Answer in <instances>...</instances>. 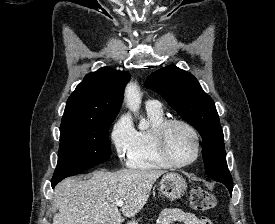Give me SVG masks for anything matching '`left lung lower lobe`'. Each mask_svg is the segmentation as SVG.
<instances>
[{
	"label": "left lung lower lobe",
	"mask_w": 275,
	"mask_h": 224,
	"mask_svg": "<svg viewBox=\"0 0 275 224\" xmlns=\"http://www.w3.org/2000/svg\"><path fill=\"white\" fill-rule=\"evenodd\" d=\"M221 183H223L229 189V192L232 193L233 182H228L227 180H222Z\"/></svg>",
	"instance_id": "left-lung-lower-lobe-1"
}]
</instances>
